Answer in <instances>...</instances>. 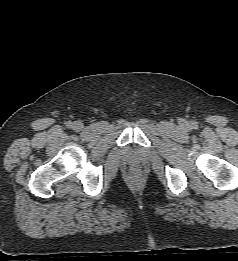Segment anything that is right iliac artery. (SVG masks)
Segmentation results:
<instances>
[{
	"mask_svg": "<svg viewBox=\"0 0 238 261\" xmlns=\"http://www.w3.org/2000/svg\"><path fill=\"white\" fill-rule=\"evenodd\" d=\"M66 127L67 128H72L73 127V123L71 121H67L66 122Z\"/></svg>",
	"mask_w": 238,
	"mask_h": 261,
	"instance_id": "right-iliac-artery-1",
	"label": "right iliac artery"
}]
</instances>
